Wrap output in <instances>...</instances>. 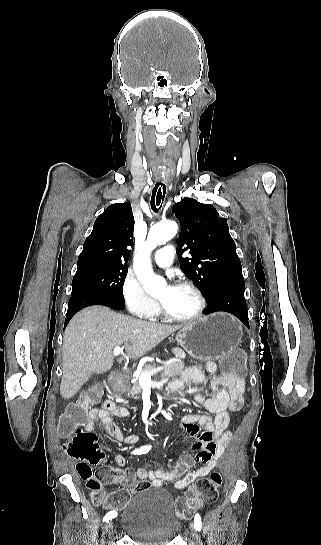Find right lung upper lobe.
<instances>
[{"instance_id": "1", "label": "right lung upper lobe", "mask_w": 321, "mask_h": 545, "mask_svg": "<svg viewBox=\"0 0 321 545\" xmlns=\"http://www.w3.org/2000/svg\"><path fill=\"white\" fill-rule=\"evenodd\" d=\"M134 217L131 204L110 205L99 215L78 257L77 268L90 265L127 267L128 246L133 243Z\"/></svg>"}]
</instances>
